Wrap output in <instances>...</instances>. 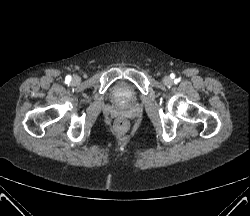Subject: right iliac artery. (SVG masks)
I'll return each mask as SVG.
<instances>
[{
	"mask_svg": "<svg viewBox=\"0 0 250 216\" xmlns=\"http://www.w3.org/2000/svg\"><path fill=\"white\" fill-rule=\"evenodd\" d=\"M66 81L67 82L71 81V76L70 75L66 76Z\"/></svg>",
	"mask_w": 250,
	"mask_h": 216,
	"instance_id": "82829eb1",
	"label": "right iliac artery"
}]
</instances>
